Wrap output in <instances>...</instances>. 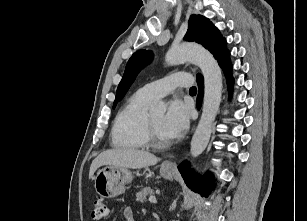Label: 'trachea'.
<instances>
[{"instance_id": "3493384b", "label": "trachea", "mask_w": 307, "mask_h": 221, "mask_svg": "<svg viewBox=\"0 0 307 221\" xmlns=\"http://www.w3.org/2000/svg\"><path fill=\"white\" fill-rule=\"evenodd\" d=\"M190 93H196L197 92V88L195 86L191 87L189 90Z\"/></svg>"}]
</instances>
